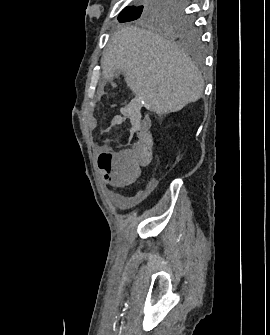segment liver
<instances>
[{
    "mask_svg": "<svg viewBox=\"0 0 270 335\" xmlns=\"http://www.w3.org/2000/svg\"><path fill=\"white\" fill-rule=\"evenodd\" d=\"M104 78L123 70L126 84L155 114L179 112L203 94L204 80L192 60L151 30L124 26L112 34L101 60Z\"/></svg>",
    "mask_w": 270,
    "mask_h": 335,
    "instance_id": "1",
    "label": "liver"
}]
</instances>
